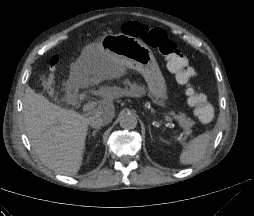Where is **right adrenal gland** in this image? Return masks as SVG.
<instances>
[{"label":"right adrenal gland","mask_w":254,"mask_h":216,"mask_svg":"<svg viewBox=\"0 0 254 216\" xmlns=\"http://www.w3.org/2000/svg\"><path fill=\"white\" fill-rule=\"evenodd\" d=\"M98 132V129L97 130H94L93 132H92V136L93 137H95V134Z\"/></svg>","instance_id":"right-adrenal-gland-1"}]
</instances>
